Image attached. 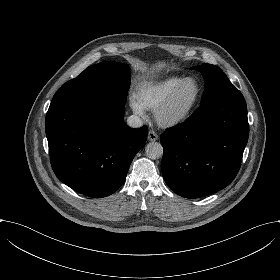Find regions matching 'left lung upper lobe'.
<instances>
[{"instance_id": "5c2ea615", "label": "left lung upper lobe", "mask_w": 280, "mask_h": 280, "mask_svg": "<svg viewBox=\"0 0 280 280\" xmlns=\"http://www.w3.org/2000/svg\"><path fill=\"white\" fill-rule=\"evenodd\" d=\"M191 69L199 70L204 77L205 89L201 99V105L225 94L238 91L229 81L225 73L215 65L204 63L201 66H195Z\"/></svg>"}]
</instances>
